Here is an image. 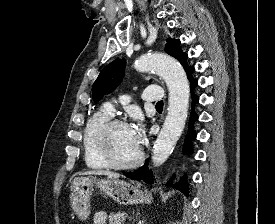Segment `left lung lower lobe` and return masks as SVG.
I'll return each instance as SVG.
<instances>
[{"instance_id": "1", "label": "left lung lower lobe", "mask_w": 275, "mask_h": 224, "mask_svg": "<svg viewBox=\"0 0 275 224\" xmlns=\"http://www.w3.org/2000/svg\"><path fill=\"white\" fill-rule=\"evenodd\" d=\"M194 72V68L191 69L188 73V79L190 81V90H191V95H192V110H191V116H190V120H189V129H188V133L185 137V144H184V153L185 154H189L192 152V145H191V139L196 137V133L193 130V123L198 119L197 114L194 112V106L195 104L198 103L199 98L197 95H195L194 93V88L197 86V80L193 79L192 77V73ZM126 177L131 178L133 180H144L147 184H152L153 183V179H152V172L148 171V161H146V163L138 168L137 170H135L134 172H131L129 174L126 175ZM173 179L169 180L167 182L168 185L176 187L177 189L181 190L185 195H188V191H187V182H186V178H182L180 180L179 183H177L176 185L172 184Z\"/></svg>"}]
</instances>
